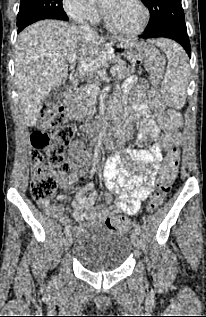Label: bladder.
Instances as JSON below:
<instances>
[{"instance_id":"obj_1","label":"bladder","mask_w":206,"mask_h":317,"mask_svg":"<svg viewBox=\"0 0 206 317\" xmlns=\"http://www.w3.org/2000/svg\"><path fill=\"white\" fill-rule=\"evenodd\" d=\"M131 253L128 236L101 226L84 227L73 245L74 258L90 271L116 270Z\"/></svg>"}]
</instances>
